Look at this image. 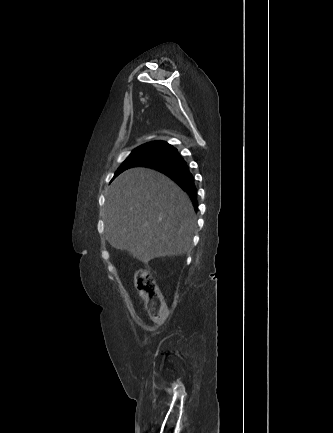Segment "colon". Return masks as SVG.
Wrapping results in <instances>:
<instances>
[{
	"mask_svg": "<svg viewBox=\"0 0 333 433\" xmlns=\"http://www.w3.org/2000/svg\"><path fill=\"white\" fill-rule=\"evenodd\" d=\"M134 283L140 295L146 300V310L151 320L163 324L167 317V307L155 279L148 272L137 270Z\"/></svg>",
	"mask_w": 333,
	"mask_h": 433,
	"instance_id": "1",
	"label": "colon"
}]
</instances>
